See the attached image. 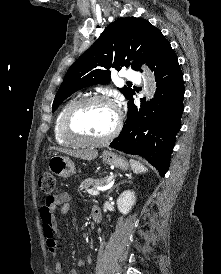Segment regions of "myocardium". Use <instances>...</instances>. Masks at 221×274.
<instances>
[{
	"instance_id": "1",
	"label": "myocardium",
	"mask_w": 221,
	"mask_h": 274,
	"mask_svg": "<svg viewBox=\"0 0 221 274\" xmlns=\"http://www.w3.org/2000/svg\"><path fill=\"white\" fill-rule=\"evenodd\" d=\"M97 103L111 106L115 111L116 121L112 130L107 135L100 138L86 137L78 133L74 129L73 118L75 114L83 107L91 104H97ZM121 126H122V115L115 101L109 97L100 96V95L84 97V98H80L78 100L73 101L65 110L61 120L62 134L74 144L97 145V144L107 143L116 137V135L119 133L121 129Z\"/></svg>"
}]
</instances>
